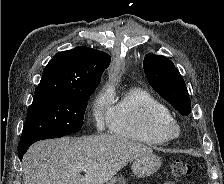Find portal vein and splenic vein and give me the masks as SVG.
<instances>
[{"label": "portal vein and splenic vein", "mask_w": 224, "mask_h": 184, "mask_svg": "<svg viewBox=\"0 0 224 184\" xmlns=\"http://www.w3.org/2000/svg\"><path fill=\"white\" fill-rule=\"evenodd\" d=\"M79 170H81V171H85L86 169H85V167L81 166V167L79 168Z\"/></svg>", "instance_id": "portal-vein-and-splenic-vein-1"}]
</instances>
